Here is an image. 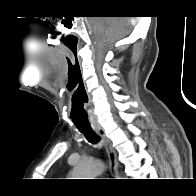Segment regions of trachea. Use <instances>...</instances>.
Listing matches in <instances>:
<instances>
[{
	"label": "trachea",
	"mask_w": 196,
	"mask_h": 196,
	"mask_svg": "<svg viewBox=\"0 0 196 196\" xmlns=\"http://www.w3.org/2000/svg\"><path fill=\"white\" fill-rule=\"evenodd\" d=\"M78 130L84 134L86 139L90 143H98L100 141V137L95 133V131L92 130L91 127L89 128H78Z\"/></svg>",
	"instance_id": "3493384b"
}]
</instances>
